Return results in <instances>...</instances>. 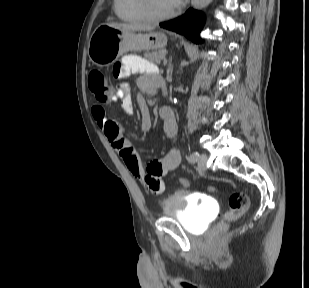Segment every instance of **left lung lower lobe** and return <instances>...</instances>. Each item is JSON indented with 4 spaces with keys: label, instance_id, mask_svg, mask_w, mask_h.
I'll return each mask as SVG.
<instances>
[{
    "label": "left lung lower lobe",
    "instance_id": "0a47b994",
    "mask_svg": "<svg viewBox=\"0 0 309 288\" xmlns=\"http://www.w3.org/2000/svg\"><path fill=\"white\" fill-rule=\"evenodd\" d=\"M204 21V16L201 12L189 9L183 16L160 23V26L185 35L193 42L199 43V33L204 25Z\"/></svg>",
    "mask_w": 309,
    "mask_h": 288
}]
</instances>
